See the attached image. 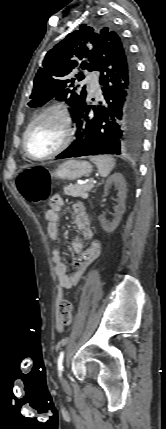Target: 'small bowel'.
I'll use <instances>...</instances> for the list:
<instances>
[{
    "mask_svg": "<svg viewBox=\"0 0 166 429\" xmlns=\"http://www.w3.org/2000/svg\"><path fill=\"white\" fill-rule=\"evenodd\" d=\"M63 205L61 196H55L51 201V209L45 213V218L48 221L47 233L50 239L54 242L59 240V217ZM74 221L78 231L86 238L93 237L89 216L85 208L77 203L73 206ZM72 248L76 253L73 260V272L67 273V266L62 261L59 248L55 247L52 251V262L54 263L55 273L57 275L58 296L61 295L63 289H71L81 280L90 264L99 256L100 244L92 243L88 248L85 247L83 241L76 238L72 241ZM63 327L58 325L57 331L62 332Z\"/></svg>",
    "mask_w": 166,
    "mask_h": 429,
    "instance_id": "1",
    "label": "small bowel"
}]
</instances>
